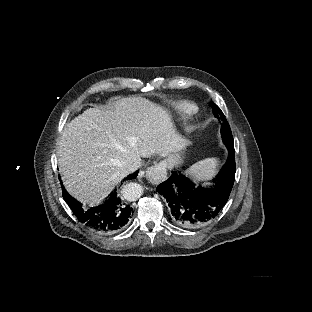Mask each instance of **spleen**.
<instances>
[{
    "label": "spleen",
    "instance_id": "3e777b00",
    "mask_svg": "<svg viewBox=\"0 0 312 312\" xmlns=\"http://www.w3.org/2000/svg\"><path fill=\"white\" fill-rule=\"evenodd\" d=\"M218 165V158H206L196 162L188 169H186L185 174L189 176L194 182L208 181L215 177L218 173ZM206 185H208V183L204 182L203 186Z\"/></svg>",
    "mask_w": 312,
    "mask_h": 312
}]
</instances>
